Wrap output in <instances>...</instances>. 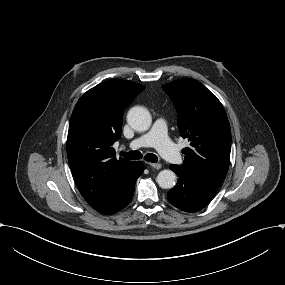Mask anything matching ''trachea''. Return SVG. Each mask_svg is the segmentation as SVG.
<instances>
[{
  "label": "trachea",
  "mask_w": 285,
  "mask_h": 285,
  "mask_svg": "<svg viewBox=\"0 0 285 285\" xmlns=\"http://www.w3.org/2000/svg\"><path fill=\"white\" fill-rule=\"evenodd\" d=\"M120 155L130 160H137V159L144 158L145 161H148L151 163H155L158 160L155 154L148 153L143 156L139 151L121 152Z\"/></svg>",
  "instance_id": "obj_1"
}]
</instances>
